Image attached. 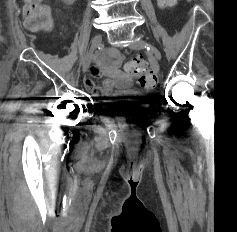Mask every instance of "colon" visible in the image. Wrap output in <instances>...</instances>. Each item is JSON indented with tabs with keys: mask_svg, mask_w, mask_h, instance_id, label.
Instances as JSON below:
<instances>
[{
	"mask_svg": "<svg viewBox=\"0 0 237 232\" xmlns=\"http://www.w3.org/2000/svg\"><path fill=\"white\" fill-rule=\"evenodd\" d=\"M23 20L25 27L31 32H48L53 27L50 8L43 0H24ZM176 0H157L159 8L166 9ZM126 71L138 78L144 88H151L157 82V68L142 55L136 56L126 64Z\"/></svg>",
	"mask_w": 237,
	"mask_h": 232,
	"instance_id": "5ec220e1",
	"label": "colon"
}]
</instances>
